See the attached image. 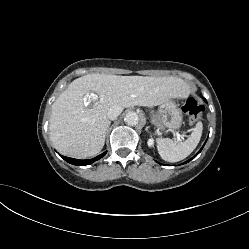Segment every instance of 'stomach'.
<instances>
[{
    "instance_id": "0dacf381",
    "label": "stomach",
    "mask_w": 249,
    "mask_h": 249,
    "mask_svg": "<svg viewBox=\"0 0 249 249\" xmlns=\"http://www.w3.org/2000/svg\"><path fill=\"white\" fill-rule=\"evenodd\" d=\"M182 112L172 100L161 104L157 112L151 113L152 124L161 132L174 131L181 127Z\"/></svg>"
}]
</instances>
